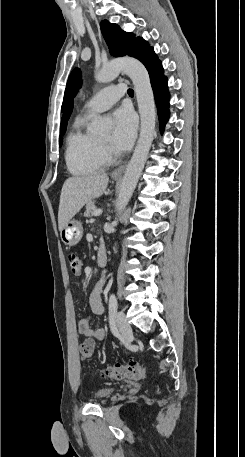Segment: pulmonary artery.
<instances>
[{
	"mask_svg": "<svg viewBox=\"0 0 245 457\" xmlns=\"http://www.w3.org/2000/svg\"><path fill=\"white\" fill-rule=\"evenodd\" d=\"M127 87L128 82L126 80H121L119 86H103L102 93H95L94 97L84 104V112L87 115H93L108 109L120 100L122 95H127Z\"/></svg>",
	"mask_w": 245,
	"mask_h": 457,
	"instance_id": "e3ab8cb5",
	"label": "pulmonary artery"
}]
</instances>
